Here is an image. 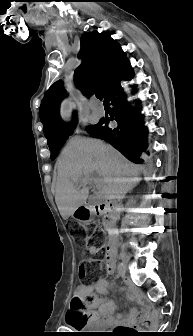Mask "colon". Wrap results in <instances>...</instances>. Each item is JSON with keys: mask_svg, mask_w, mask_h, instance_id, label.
<instances>
[{"mask_svg": "<svg viewBox=\"0 0 193 336\" xmlns=\"http://www.w3.org/2000/svg\"><path fill=\"white\" fill-rule=\"evenodd\" d=\"M69 229L71 231L74 230V227L72 224L69 225ZM75 241L77 242V244L84 246V252L87 256L88 255H98L101 250V246L98 243L94 235H90L86 238H83L81 236H75ZM93 264H94V260L91 258H86L81 262L80 267H79V277L81 279H85L87 277L89 272L92 270ZM94 301H95V298L93 296L87 297L86 300H82L79 297H74L71 300V307L74 313L85 315L88 310V305L92 304ZM125 331H126L125 329L119 330V332L121 333Z\"/></svg>", "mask_w": 193, "mask_h": 336, "instance_id": "colon-1", "label": "colon"}]
</instances>
